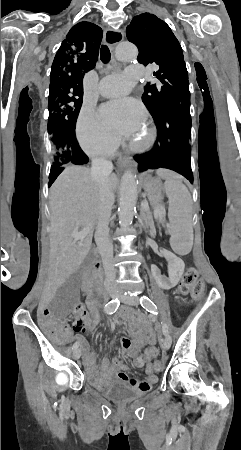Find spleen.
Segmentation results:
<instances>
[{"instance_id": "3e777b00", "label": "spleen", "mask_w": 241, "mask_h": 450, "mask_svg": "<svg viewBox=\"0 0 241 450\" xmlns=\"http://www.w3.org/2000/svg\"><path fill=\"white\" fill-rule=\"evenodd\" d=\"M157 176L166 180L164 190L169 198L170 246L179 256L190 254L193 246V230L190 228L191 194L182 180L169 170H157ZM179 211V212H172Z\"/></svg>"}]
</instances>
